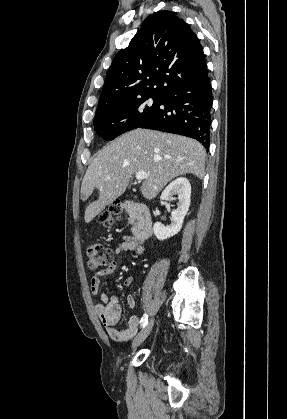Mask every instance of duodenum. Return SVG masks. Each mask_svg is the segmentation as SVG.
I'll return each mask as SVG.
<instances>
[{"mask_svg":"<svg viewBox=\"0 0 287 419\" xmlns=\"http://www.w3.org/2000/svg\"><path fill=\"white\" fill-rule=\"evenodd\" d=\"M124 208L133 219V233L136 240L141 243L149 239L152 234V218L148 207L142 203L126 201Z\"/></svg>","mask_w":287,"mask_h":419,"instance_id":"obj_1","label":"duodenum"}]
</instances>
